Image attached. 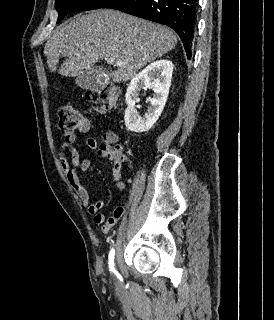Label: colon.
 Wrapping results in <instances>:
<instances>
[{
    "label": "colon",
    "mask_w": 274,
    "mask_h": 320,
    "mask_svg": "<svg viewBox=\"0 0 274 320\" xmlns=\"http://www.w3.org/2000/svg\"><path fill=\"white\" fill-rule=\"evenodd\" d=\"M114 94L115 88L112 85H105L100 89L85 91L84 99L96 111L107 112L113 106ZM56 115L59 130L67 137L79 131L78 127L81 120H88L81 111L66 103L57 107ZM102 148L109 151L112 157L121 158L122 150L115 134L108 132L103 136Z\"/></svg>",
    "instance_id": "colon-1"
}]
</instances>
